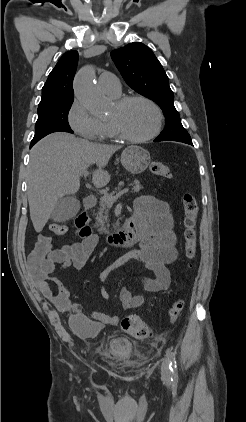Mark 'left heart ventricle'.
Segmentation results:
<instances>
[{"label":"left heart ventricle","instance_id":"left-heart-ventricle-1","mask_svg":"<svg viewBox=\"0 0 246 422\" xmlns=\"http://www.w3.org/2000/svg\"><path fill=\"white\" fill-rule=\"evenodd\" d=\"M116 120L129 134L143 137L151 133L157 123L154 109L142 101H134L123 108L113 106L109 120Z\"/></svg>","mask_w":246,"mask_h":422}]
</instances>
